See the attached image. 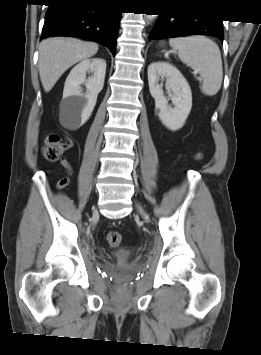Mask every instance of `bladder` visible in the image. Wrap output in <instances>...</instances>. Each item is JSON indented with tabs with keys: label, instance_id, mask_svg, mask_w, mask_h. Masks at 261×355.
Wrapping results in <instances>:
<instances>
[{
	"label": "bladder",
	"instance_id": "1",
	"mask_svg": "<svg viewBox=\"0 0 261 355\" xmlns=\"http://www.w3.org/2000/svg\"><path fill=\"white\" fill-rule=\"evenodd\" d=\"M117 259L123 267H127L130 263V252L122 249L117 253Z\"/></svg>",
	"mask_w": 261,
	"mask_h": 355
}]
</instances>
